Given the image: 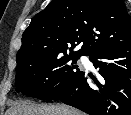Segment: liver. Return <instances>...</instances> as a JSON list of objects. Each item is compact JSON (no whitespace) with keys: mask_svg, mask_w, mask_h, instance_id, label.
<instances>
[{"mask_svg":"<svg viewBox=\"0 0 131 115\" xmlns=\"http://www.w3.org/2000/svg\"><path fill=\"white\" fill-rule=\"evenodd\" d=\"M5 115H83L65 105H36L30 101L15 102Z\"/></svg>","mask_w":131,"mask_h":115,"instance_id":"6515ba94","label":"liver"}]
</instances>
